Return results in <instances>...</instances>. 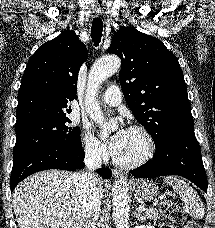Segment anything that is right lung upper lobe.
Returning <instances> with one entry per match:
<instances>
[{
    "label": "right lung upper lobe",
    "instance_id": "1",
    "mask_svg": "<svg viewBox=\"0 0 215 228\" xmlns=\"http://www.w3.org/2000/svg\"><path fill=\"white\" fill-rule=\"evenodd\" d=\"M87 49L74 31H63L29 59L18 92L16 123L40 116L71 113Z\"/></svg>",
    "mask_w": 215,
    "mask_h": 228
}]
</instances>
